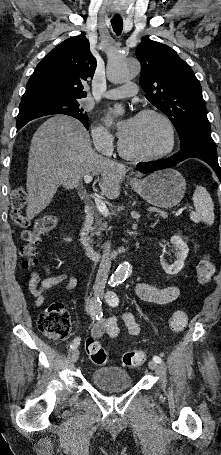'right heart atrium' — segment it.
Masks as SVG:
<instances>
[{
  "instance_id": "d8ad5b80",
  "label": "right heart atrium",
  "mask_w": 221,
  "mask_h": 455,
  "mask_svg": "<svg viewBox=\"0 0 221 455\" xmlns=\"http://www.w3.org/2000/svg\"><path fill=\"white\" fill-rule=\"evenodd\" d=\"M91 135L94 147L99 153L109 154L112 151L113 136L106 127L94 126Z\"/></svg>"
}]
</instances>
